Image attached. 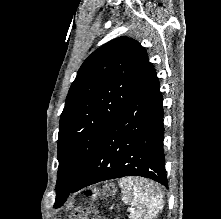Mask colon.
<instances>
[{"label": "colon", "mask_w": 221, "mask_h": 219, "mask_svg": "<svg viewBox=\"0 0 221 219\" xmlns=\"http://www.w3.org/2000/svg\"><path fill=\"white\" fill-rule=\"evenodd\" d=\"M92 192H88L87 195H91ZM70 219H102L100 214L93 207L76 208Z\"/></svg>", "instance_id": "5ec220e1"}]
</instances>
